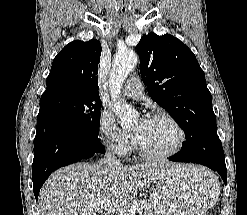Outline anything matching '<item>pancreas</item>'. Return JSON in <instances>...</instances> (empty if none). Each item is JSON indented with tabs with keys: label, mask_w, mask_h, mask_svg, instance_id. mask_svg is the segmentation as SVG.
<instances>
[{
	"label": "pancreas",
	"mask_w": 247,
	"mask_h": 215,
	"mask_svg": "<svg viewBox=\"0 0 247 215\" xmlns=\"http://www.w3.org/2000/svg\"><path fill=\"white\" fill-rule=\"evenodd\" d=\"M134 202L138 204L137 211L140 215H156V211L150 202L142 200H135Z\"/></svg>",
	"instance_id": "obj_1"
}]
</instances>
